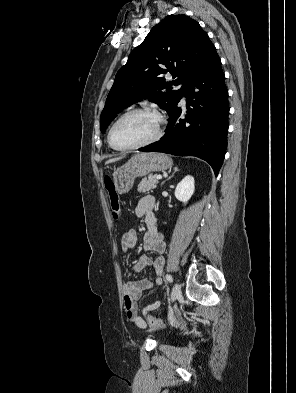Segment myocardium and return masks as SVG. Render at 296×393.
I'll list each match as a JSON object with an SVG mask.
<instances>
[{"label":"myocardium","instance_id":"1","mask_svg":"<svg viewBox=\"0 0 296 393\" xmlns=\"http://www.w3.org/2000/svg\"><path fill=\"white\" fill-rule=\"evenodd\" d=\"M137 113H147V114H152L157 118L158 121V125H157V130L154 134L153 137H151L150 139L136 144V145H132V146H118L113 139V133L115 128L117 127V125L126 117L133 115V114H137ZM164 126H165V118L164 116L156 109L153 108H148V107H141V108H135V109H131L127 112H125L124 114H122L115 122L114 124L111 126L109 133H108V143L109 145L117 150V151H130V150H135V149H140L146 146H149L155 142H157L158 140L161 139V137L163 136V132H164Z\"/></svg>","mask_w":296,"mask_h":393}]
</instances>
